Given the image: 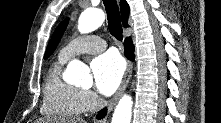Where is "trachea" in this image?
<instances>
[{"label":"trachea","instance_id":"1","mask_svg":"<svg viewBox=\"0 0 221 123\" xmlns=\"http://www.w3.org/2000/svg\"><path fill=\"white\" fill-rule=\"evenodd\" d=\"M108 19V28L110 34L117 40L123 39V29L120 20L119 8L116 0H103Z\"/></svg>","mask_w":221,"mask_h":123}]
</instances>
